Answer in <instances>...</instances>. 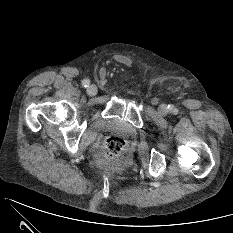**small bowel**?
<instances>
[{
    "label": "small bowel",
    "instance_id": "1",
    "mask_svg": "<svg viewBox=\"0 0 233 233\" xmlns=\"http://www.w3.org/2000/svg\"><path fill=\"white\" fill-rule=\"evenodd\" d=\"M117 60L125 65H130L131 61L129 59V57L125 56V55H118L117 56Z\"/></svg>",
    "mask_w": 233,
    "mask_h": 233
}]
</instances>
